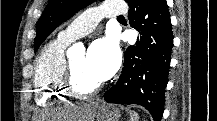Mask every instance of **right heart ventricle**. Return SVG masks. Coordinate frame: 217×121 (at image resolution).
Instances as JSON below:
<instances>
[{"label":"right heart ventricle","instance_id":"obj_1","mask_svg":"<svg viewBox=\"0 0 217 121\" xmlns=\"http://www.w3.org/2000/svg\"><path fill=\"white\" fill-rule=\"evenodd\" d=\"M68 43L69 41L58 36L47 43L39 53L35 64L34 86L36 101L41 106L59 103L66 97L62 88V75Z\"/></svg>","mask_w":217,"mask_h":121}]
</instances>
